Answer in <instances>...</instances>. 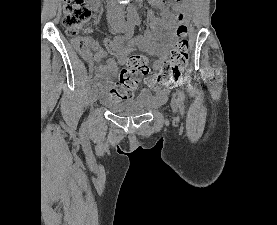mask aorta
Returning <instances> with one entry per match:
<instances>
[{"label":"aorta","mask_w":277,"mask_h":225,"mask_svg":"<svg viewBox=\"0 0 277 225\" xmlns=\"http://www.w3.org/2000/svg\"><path fill=\"white\" fill-rule=\"evenodd\" d=\"M127 13H128V19L129 20L135 19L137 17L136 10H135L134 6H132V5H130L128 7Z\"/></svg>","instance_id":"aorta-1"}]
</instances>
